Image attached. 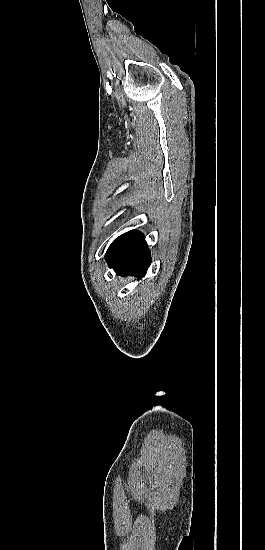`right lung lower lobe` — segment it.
Wrapping results in <instances>:
<instances>
[{
	"label": "right lung lower lobe",
	"instance_id": "1",
	"mask_svg": "<svg viewBox=\"0 0 265 550\" xmlns=\"http://www.w3.org/2000/svg\"><path fill=\"white\" fill-rule=\"evenodd\" d=\"M106 260L118 274L144 275L151 263L144 235L132 231L116 249L106 253Z\"/></svg>",
	"mask_w": 265,
	"mask_h": 550
}]
</instances>
